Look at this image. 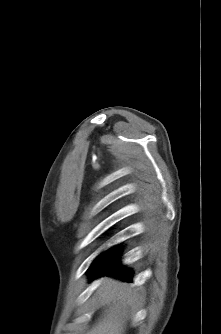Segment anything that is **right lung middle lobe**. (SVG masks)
Listing matches in <instances>:
<instances>
[{"label": "right lung middle lobe", "instance_id": "1", "mask_svg": "<svg viewBox=\"0 0 221 334\" xmlns=\"http://www.w3.org/2000/svg\"><path fill=\"white\" fill-rule=\"evenodd\" d=\"M119 254V247L115 246L107 252L100 255L90 266L89 272L92 273L98 269H101L109 265Z\"/></svg>", "mask_w": 221, "mask_h": 334}]
</instances>
